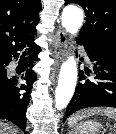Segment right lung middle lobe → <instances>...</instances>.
<instances>
[{
  "instance_id": "dd1d6c3e",
  "label": "right lung middle lobe",
  "mask_w": 116,
  "mask_h": 134,
  "mask_svg": "<svg viewBox=\"0 0 116 134\" xmlns=\"http://www.w3.org/2000/svg\"><path fill=\"white\" fill-rule=\"evenodd\" d=\"M8 66L7 62H0V84L8 82L9 78L6 74V67Z\"/></svg>"
}]
</instances>
